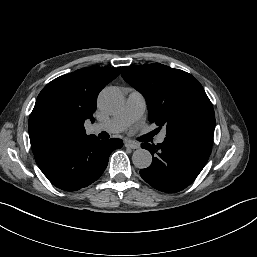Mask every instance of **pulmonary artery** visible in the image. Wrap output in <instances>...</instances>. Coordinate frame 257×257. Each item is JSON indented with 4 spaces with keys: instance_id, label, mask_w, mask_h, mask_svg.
Masks as SVG:
<instances>
[{
    "instance_id": "1",
    "label": "pulmonary artery",
    "mask_w": 257,
    "mask_h": 257,
    "mask_svg": "<svg viewBox=\"0 0 257 257\" xmlns=\"http://www.w3.org/2000/svg\"><path fill=\"white\" fill-rule=\"evenodd\" d=\"M145 109L146 101L144 96L140 92L132 90L126 99L123 109L107 121L95 124L92 130H105L111 133H119L140 119ZM165 137L166 132L163 131L157 137L156 142L159 144L163 143Z\"/></svg>"
}]
</instances>
